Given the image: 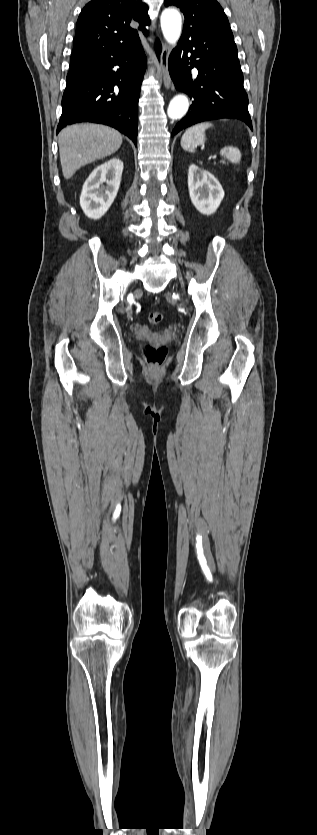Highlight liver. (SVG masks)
Listing matches in <instances>:
<instances>
[{
  "label": "liver",
  "instance_id": "6515ba94",
  "mask_svg": "<svg viewBox=\"0 0 317 835\" xmlns=\"http://www.w3.org/2000/svg\"><path fill=\"white\" fill-rule=\"evenodd\" d=\"M58 137L65 179L83 165L115 153L123 141L117 130L99 124H75L63 129Z\"/></svg>",
  "mask_w": 317,
  "mask_h": 835
}]
</instances>
